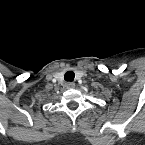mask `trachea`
Returning <instances> with one entry per match:
<instances>
[{"label":"trachea","instance_id":"1","mask_svg":"<svg viewBox=\"0 0 145 145\" xmlns=\"http://www.w3.org/2000/svg\"><path fill=\"white\" fill-rule=\"evenodd\" d=\"M75 78V73L73 71H67L64 75V79L68 82H72Z\"/></svg>","mask_w":145,"mask_h":145}]
</instances>
